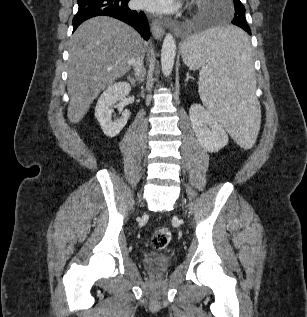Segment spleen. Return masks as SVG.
I'll use <instances>...</instances> for the list:
<instances>
[{"mask_svg":"<svg viewBox=\"0 0 307 317\" xmlns=\"http://www.w3.org/2000/svg\"><path fill=\"white\" fill-rule=\"evenodd\" d=\"M182 58L192 70L202 67L199 95L212 116L238 144L253 150L260 108L245 29L206 26L183 43Z\"/></svg>","mask_w":307,"mask_h":317,"instance_id":"spleen-1","label":"spleen"}]
</instances>
